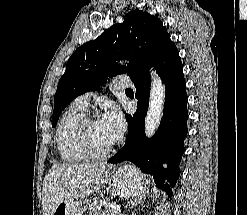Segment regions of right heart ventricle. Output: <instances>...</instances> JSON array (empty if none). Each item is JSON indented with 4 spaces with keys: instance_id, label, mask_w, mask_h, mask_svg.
I'll return each instance as SVG.
<instances>
[{
    "instance_id": "obj_1",
    "label": "right heart ventricle",
    "mask_w": 247,
    "mask_h": 215,
    "mask_svg": "<svg viewBox=\"0 0 247 215\" xmlns=\"http://www.w3.org/2000/svg\"><path fill=\"white\" fill-rule=\"evenodd\" d=\"M86 109L73 102L62 114L56 128L55 141L61 159L68 163H78L88 159L80 148L76 128L85 116Z\"/></svg>"
}]
</instances>
